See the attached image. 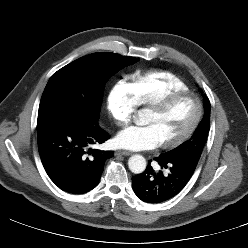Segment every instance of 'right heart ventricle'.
<instances>
[{"instance_id":"obj_1","label":"right heart ventricle","mask_w":248,"mask_h":248,"mask_svg":"<svg viewBox=\"0 0 248 248\" xmlns=\"http://www.w3.org/2000/svg\"><path fill=\"white\" fill-rule=\"evenodd\" d=\"M127 85L138 106H149L171 92L189 91V87L181 78L167 71L134 74Z\"/></svg>"}]
</instances>
